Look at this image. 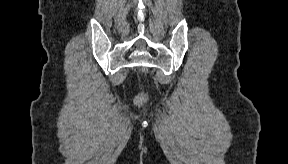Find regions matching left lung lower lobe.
Returning a JSON list of instances; mask_svg holds the SVG:
<instances>
[{"mask_svg":"<svg viewBox=\"0 0 288 164\" xmlns=\"http://www.w3.org/2000/svg\"><path fill=\"white\" fill-rule=\"evenodd\" d=\"M253 80H257L258 81V87L257 89L254 90H250V92L248 93V97L250 99H254L258 96L259 94V88L263 89L265 84H266V77L262 72H254L252 74H248L247 75V82L250 84Z\"/></svg>","mask_w":288,"mask_h":164,"instance_id":"0a47b994","label":"left lung lower lobe"}]
</instances>
